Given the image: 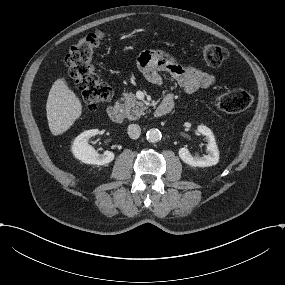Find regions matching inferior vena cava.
<instances>
[{
    "instance_id": "inferior-vena-cava-1",
    "label": "inferior vena cava",
    "mask_w": 285,
    "mask_h": 285,
    "mask_svg": "<svg viewBox=\"0 0 285 285\" xmlns=\"http://www.w3.org/2000/svg\"><path fill=\"white\" fill-rule=\"evenodd\" d=\"M141 133L140 126L137 124H131L128 127V135L132 139H138Z\"/></svg>"
}]
</instances>
